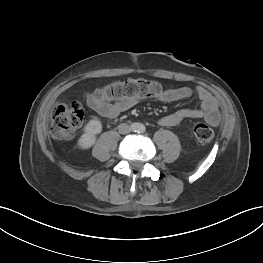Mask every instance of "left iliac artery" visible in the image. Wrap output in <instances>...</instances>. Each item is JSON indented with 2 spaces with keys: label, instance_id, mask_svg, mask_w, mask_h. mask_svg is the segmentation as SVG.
I'll return each mask as SVG.
<instances>
[{
  "label": "left iliac artery",
  "instance_id": "44dca946",
  "mask_svg": "<svg viewBox=\"0 0 263 263\" xmlns=\"http://www.w3.org/2000/svg\"><path fill=\"white\" fill-rule=\"evenodd\" d=\"M145 131V127L144 126H140V128H139V132H144Z\"/></svg>",
  "mask_w": 263,
  "mask_h": 263
}]
</instances>
